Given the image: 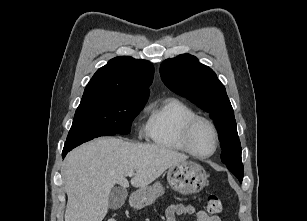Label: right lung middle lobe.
I'll list each match as a JSON object with an SVG mask.
<instances>
[{
	"label": "right lung middle lobe",
	"instance_id": "obj_1",
	"mask_svg": "<svg viewBox=\"0 0 307 221\" xmlns=\"http://www.w3.org/2000/svg\"><path fill=\"white\" fill-rule=\"evenodd\" d=\"M147 99L134 96H107L81 102L63 151L100 136L128 134L133 119Z\"/></svg>",
	"mask_w": 307,
	"mask_h": 221
}]
</instances>
